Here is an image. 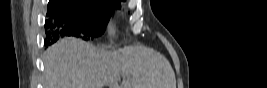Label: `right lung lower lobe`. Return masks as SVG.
I'll return each instance as SVG.
<instances>
[{"label":"right lung lower lobe","mask_w":267,"mask_h":88,"mask_svg":"<svg viewBox=\"0 0 267 88\" xmlns=\"http://www.w3.org/2000/svg\"><path fill=\"white\" fill-rule=\"evenodd\" d=\"M47 24L50 27V30L48 31V33L50 34L49 40L51 43H54L60 37H63V36H76L77 37L78 33L76 32L74 27L68 23H64L61 21L47 20L46 27H47Z\"/></svg>","instance_id":"98d812e1"}]
</instances>
